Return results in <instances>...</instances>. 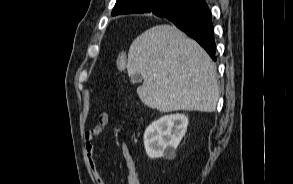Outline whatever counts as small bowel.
I'll return each mask as SVG.
<instances>
[{"instance_id": "1", "label": "small bowel", "mask_w": 293, "mask_h": 184, "mask_svg": "<svg viewBox=\"0 0 293 184\" xmlns=\"http://www.w3.org/2000/svg\"><path fill=\"white\" fill-rule=\"evenodd\" d=\"M109 120L110 117L108 113H100L97 124L94 125L91 129H89L85 134L86 155L92 175L97 184H110L101 175L98 163L94 158V140L97 136H99L102 133L103 129L108 125ZM122 154L128 170L127 184H141L134 159L128 148L124 147L122 150Z\"/></svg>"}]
</instances>
